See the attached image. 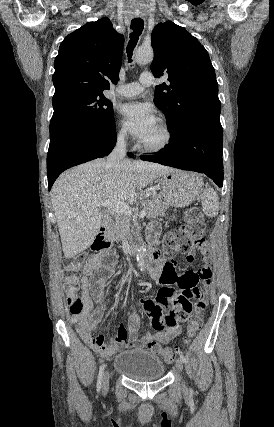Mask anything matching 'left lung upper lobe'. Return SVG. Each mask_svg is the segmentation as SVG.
<instances>
[{
	"label": "left lung upper lobe",
	"mask_w": 274,
	"mask_h": 427,
	"mask_svg": "<svg viewBox=\"0 0 274 427\" xmlns=\"http://www.w3.org/2000/svg\"><path fill=\"white\" fill-rule=\"evenodd\" d=\"M150 66L155 77L168 75L158 85L154 103L166 116L171 138L202 120L220 122L218 83L208 52L185 28L171 21L155 26Z\"/></svg>",
	"instance_id": "obj_1"
}]
</instances>
